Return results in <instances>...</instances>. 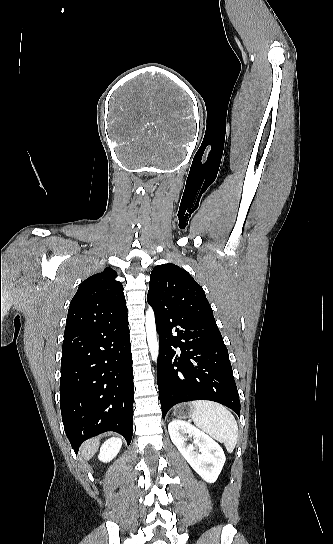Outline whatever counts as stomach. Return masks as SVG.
Masks as SVG:
<instances>
[{
  "mask_svg": "<svg viewBox=\"0 0 333 544\" xmlns=\"http://www.w3.org/2000/svg\"><path fill=\"white\" fill-rule=\"evenodd\" d=\"M174 415L178 418H187L190 416V408L187 405H179L175 408Z\"/></svg>",
  "mask_w": 333,
  "mask_h": 544,
  "instance_id": "obj_1",
  "label": "stomach"
}]
</instances>
